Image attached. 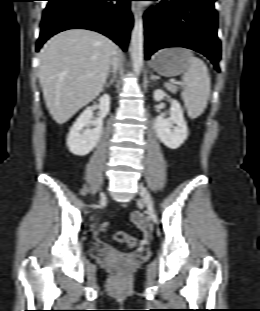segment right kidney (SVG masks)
Masks as SVG:
<instances>
[{"label": "right kidney", "instance_id": "obj_1", "mask_svg": "<svg viewBox=\"0 0 260 311\" xmlns=\"http://www.w3.org/2000/svg\"><path fill=\"white\" fill-rule=\"evenodd\" d=\"M100 114L93 120L94 107H87L77 118L67 137V146L71 153L85 156L96 147L103 132V120L109 113L110 97L104 94L99 99ZM94 126V128L84 127Z\"/></svg>", "mask_w": 260, "mask_h": 311}]
</instances>
